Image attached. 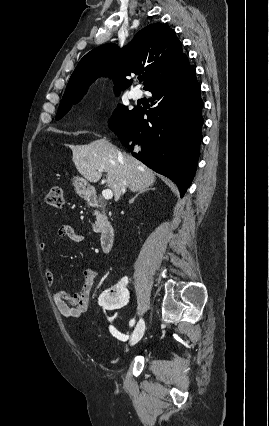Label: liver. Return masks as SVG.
<instances>
[{"label":"liver","instance_id":"6515ba94","mask_svg":"<svg viewBox=\"0 0 269 426\" xmlns=\"http://www.w3.org/2000/svg\"><path fill=\"white\" fill-rule=\"evenodd\" d=\"M72 153L76 169L87 181L96 183L103 171L107 173L106 183L113 191L115 201L120 198L123 180L132 192H136L147 189L156 179L152 170L131 155L122 153L106 139L73 146Z\"/></svg>","mask_w":269,"mask_h":426}]
</instances>
